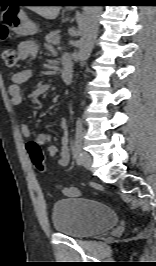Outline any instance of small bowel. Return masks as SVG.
Segmentation results:
<instances>
[{
	"label": "small bowel",
	"mask_w": 156,
	"mask_h": 266,
	"mask_svg": "<svg viewBox=\"0 0 156 266\" xmlns=\"http://www.w3.org/2000/svg\"><path fill=\"white\" fill-rule=\"evenodd\" d=\"M37 54L38 46L33 41H23L18 45V56L21 60L35 58ZM31 76L32 71L28 69L22 70L12 76L11 83L8 87V92L13 105L18 106L23 103L24 99L21 84L28 80ZM60 127L63 131L61 137L49 132H40L35 137L34 142H36L38 145H43L46 143H54L59 141L61 144L60 148H58L56 145H50L48 148V153L51 157L59 153V165L66 166L70 161L69 135L67 131L68 122L66 119L61 120ZM20 130L24 137H31V131L27 124L22 123L20 125ZM61 190L65 195L70 197H77L79 195V191L75 187L62 188Z\"/></svg>",
	"instance_id": "small-bowel-1"
}]
</instances>
